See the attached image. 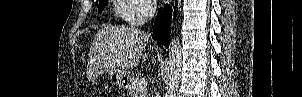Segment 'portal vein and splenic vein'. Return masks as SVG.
<instances>
[{
  "instance_id": "18ae733b",
  "label": "portal vein and splenic vein",
  "mask_w": 302,
  "mask_h": 97,
  "mask_svg": "<svg viewBox=\"0 0 302 97\" xmlns=\"http://www.w3.org/2000/svg\"><path fill=\"white\" fill-rule=\"evenodd\" d=\"M147 86V82L145 79H140L138 82H137V90L139 91H143Z\"/></svg>"
}]
</instances>
